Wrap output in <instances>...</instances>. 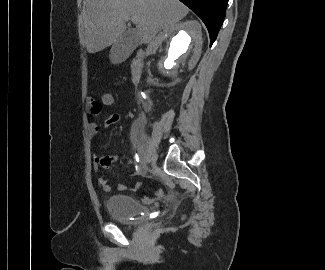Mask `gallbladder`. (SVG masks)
<instances>
[{"label":"gallbladder","mask_w":325,"mask_h":270,"mask_svg":"<svg viewBox=\"0 0 325 270\" xmlns=\"http://www.w3.org/2000/svg\"><path fill=\"white\" fill-rule=\"evenodd\" d=\"M140 43L136 30L125 31L114 43L110 50V60L113 63H120L130 56Z\"/></svg>","instance_id":"1"}]
</instances>
